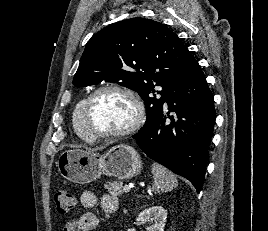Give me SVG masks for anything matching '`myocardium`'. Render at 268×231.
Returning <instances> with one entry per match:
<instances>
[{
    "label": "myocardium",
    "instance_id": "f54148a6",
    "mask_svg": "<svg viewBox=\"0 0 268 231\" xmlns=\"http://www.w3.org/2000/svg\"><path fill=\"white\" fill-rule=\"evenodd\" d=\"M103 92H114L128 98L134 106L135 115L133 120L124 128L119 130L95 131L92 129L89 121L90 106L94 98ZM84 126L91 139L97 138H123L141 128L145 121V108L140 97L131 89L118 85H105L95 89L89 94L83 104L82 110Z\"/></svg>",
    "mask_w": 268,
    "mask_h": 231
}]
</instances>
